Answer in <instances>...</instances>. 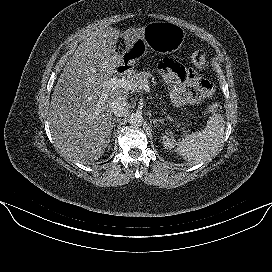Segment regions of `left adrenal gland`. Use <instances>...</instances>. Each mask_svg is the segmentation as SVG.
Segmentation results:
<instances>
[{"label":"left adrenal gland","mask_w":272,"mask_h":272,"mask_svg":"<svg viewBox=\"0 0 272 272\" xmlns=\"http://www.w3.org/2000/svg\"><path fill=\"white\" fill-rule=\"evenodd\" d=\"M157 122H160L161 124H164L163 119H154L152 120V123L155 125Z\"/></svg>","instance_id":"a2214340"}]
</instances>
